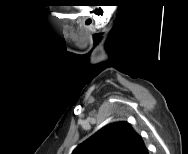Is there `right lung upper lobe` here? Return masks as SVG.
Returning a JSON list of instances; mask_svg holds the SVG:
<instances>
[{
	"label": "right lung upper lobe",
	"instance_id": "1",
	"mask_svg": "<svg viewBox=\"0 0 188 154\" xmlns=\"http://www.w3.org/2000/svg\"><path fill=\"white\" fill-rule=\"evenodd\" d=\"M72 154H148L141 136L127 122L100 129L78 145Z\"/></svg>",
	"mask_w": 188,
	"mask_h": 154
}]
</instances>
